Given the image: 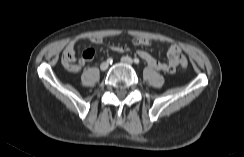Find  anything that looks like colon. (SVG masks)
Listing matches in <instances>:
<instances>
[{
	"instance_id": "colon-1",
	"label": "colon",
	"mask_w": 244,
	"mask_h": 157,
	"mask_svg": "<svg viewBox=\"0 0 244 157\" xmlns=\"http://www.w3.org/2000/svg\"><path fill=\"white\" fill-rule=\"evenodd\" d=\"M180 64L182 68H186L188 66V60L182 56ZM62 65L68 71L78 72L82 67V60L77 59L74 52L64 51L62 55Z\"/></svg>"
}]
</instances>
